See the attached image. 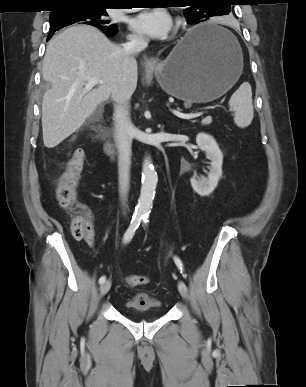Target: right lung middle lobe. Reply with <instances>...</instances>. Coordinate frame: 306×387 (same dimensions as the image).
Returning <instances> with one entry per match:
<instances>
[{
	"label": "right lung middle lobe",
	"mask_w": 306,
	"mask_h": 387,
	"mask_svg": "<svg viewBox=\"0 0 306 387\" xmlns=\"http://www.w3.org/2000/svg\"><path fill=\"white\" fill-rule=\"evenodd\" d=\"M50 14V32L60 30L74 23L90 24L101 30L115 29L117 26L104 19L106 9L99 6H72Z\"/></svg>",
	"instance_id": "right-lung-middle-lobe-1"
}]
</instances>
